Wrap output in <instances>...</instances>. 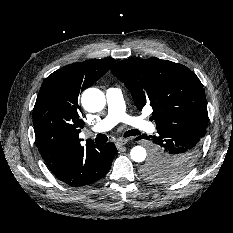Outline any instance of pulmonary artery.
<instances>
[{
	"mask_svg": "<svg viewBox=\"0 0 233 233\" xmlns=\"http://www.w3.org/2000/svg\"><path fill=\"white\" fill-rule=\"evenodd\" d=\"M107 100V115L92 127L95 133L110 130L119 122L145 132L155 131V125L141 117H133L126 113L123 94L120 88L110 87L105 92Z\"/></svg>",
	"mask_w": 233,
	"mask_h": 233,
	"instance_id": "pulmonary-artery-1",
	"label": "pulmonary artery"
}]
</instances>
